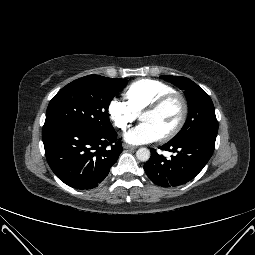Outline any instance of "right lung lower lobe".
<instances>
[{
  "label": "right lung lower lobe",
  "instance_id": "obj_1",
  "mask_svg": "<svg viewBox=\"0 0 255 255\" xmlns=\"http://www.w3.org/2000/svg\"><path fill=\"white\" fill-rule=\"evenodd\" d=\"M42 138L50 168L76 189L97 187L122 152L114 129L96 133L78 125H54L43 127Z\"/></svg>",
  "mask_w": 255,
  "mask_h": 255
}]
</instances>
